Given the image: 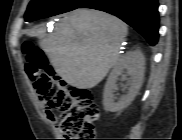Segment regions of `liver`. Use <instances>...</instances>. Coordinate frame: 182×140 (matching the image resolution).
<instances>
[{
  "label": "liver",
  "mask_w": 182,
  "mask_h": 140,
  "mask_svg": "<svg viewBox=\"0 0 182 140\" xmlns=\"http://www.w3.org/2000/svg\"><path fill=\"white\" fill-rule=\"evenodd\" d=\"M127 31V25L113 15L76 9L66 14L49 36L45 29H31L26 34L38 37L39 46L64 81L91 89L119 62Z\"/></svg>",
  "instance_id": "obj_1"
}]
</instances>
